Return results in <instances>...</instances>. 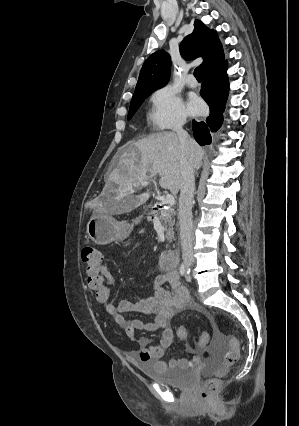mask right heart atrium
I'll return each mask as SVG.
<instances>
[{
    "label": "right heart atrium",
    "instance_id": "right-heart-atrium-1",
    "mask_svg": "<svg viewBox=\"0 0 299 426\" xmlns=\"http://www.w3.org/2000/svg\"><path fill=\"white\" fill-rule=\"evenodd\" d=\"M149 118L160 130L176 129L186 122L185 105L172 86H163L152 94Z\"/></svg>",
    "mask_w": 299,
    "mask_h": 426
}]
</instances>
